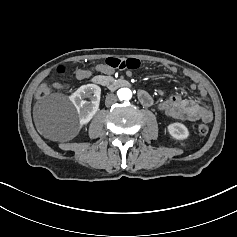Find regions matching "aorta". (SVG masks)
Here are the masks:
<instances>
[{
  "instance_id": "aorta-1",
  "label": "aorta",
  "mask_w": 237,
  "mask_h": 237,
  "mask_svg": "<svg viewBox=\"0 0 237 237\" xmlns=\"http://www.w3.org/2000/svg\"><path fill=\"white\" fill-rule=\"evenodd\" d=\"M118 96L121 100H130L133 96L131 89L129 88H121L118 90Z\"/></svg>"
}]
</instances>
